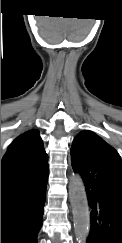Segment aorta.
Instances as JSON below:
<instances>
[{
  "label": "aorta",
  "mask_w": 122,
  "mask_h": 243,
  "mask_svg": "<svg viewBox=\"0 0 122 243\" xmlns=\"http://www.w3.org/2000/svg\"><path fill=\"white\" fill-rule=\"evenodd\" d=\"M75 235L79 243H84L88 235L89 209L83 182L79 175H73L69 185Z\"/></svg>",
  "instance_id": "obj_1"
}]
</instances>
